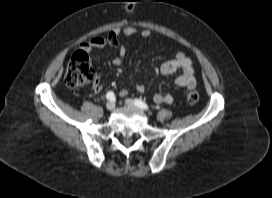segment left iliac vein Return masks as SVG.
Wrapping results in <instances>:
<instances>
[{
    "label": "left iliac vein",
    "instance_id": "obj_1",
    "mask_svg": "<svg viewBox=\"0 0 272 198\" xmlns=\"http://www.w3.org/2000/svg\"><path fill=\"white\" fill-rule=\"evenodd\" d=\"M125 104L128 106V107H131L133 109H138L135 105V103L131 100V99H126L125 100Z\"/></svg>",
    "mask_w": 272,
    "mask_h": 198
}]
</instances>
